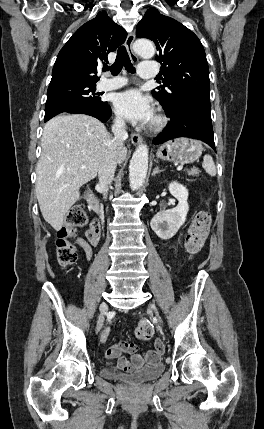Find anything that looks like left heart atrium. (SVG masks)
<instances>
[{
    "label": "left heart atrium",
    "instance_id": "1",
    "mask_svg": "<svg viewBox=\"0 0 264 429\" xmlns=\"http://www.w3.org/2000/svg\"><path fill=\"white\" fill-rule=\"evenodd\" d=\"M114 109L118 116L133 123H147L154 114L150 99L134 89L117 94Z\"/></svg>",
    "mask_w": 264,
    "mask_h": 429
}]
</instances>
